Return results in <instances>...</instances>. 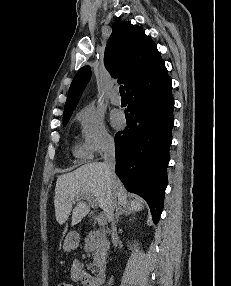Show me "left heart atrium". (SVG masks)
I'll return each mask as SVG.
<instances>
[{"mask_svg": "<svg viewBox=\"0 0 231 286\" xmlns=\"http://www.w3.org/2000/svg\"><path fill=\"white\" fill-rule=\"evenodd\" d=\"M111 122L115 128H121L124 120L121 114L116 113L112 116Z\"/></svg>", "mask_w": 231, "mask_h": 286, "instance_id": "left-heart-atrium-1", "label": "left heart atrium"}]
</instances>
